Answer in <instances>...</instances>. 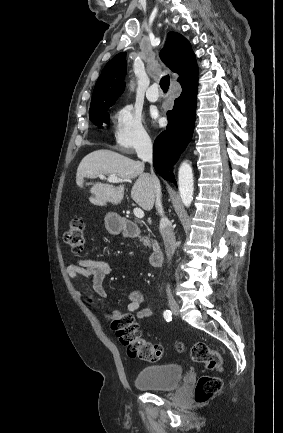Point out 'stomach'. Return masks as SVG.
Wrapping results in <instances>:
<instances>
[{
    "label": "stomach",
    "instance_id": "obj_1",
    "mask_svg": "<svg viewBox=\"0 0 283 433\" xmlns=\"http://www.w3.org/2000/svg\"><path fill=\"white\" fill-rule=\"evenodd\" d=\"M106 217H109L110 219V229L112 231V235H119L121 231L124 229L125 225V219L123 217H119V214L117 212H108L106 214Z\"/></svg>",
    "mask_w": 283,
    "mask_h": 433
}]
</instances>
